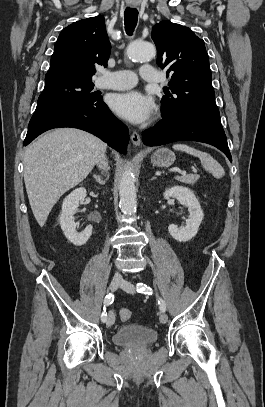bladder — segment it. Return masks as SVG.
I'll return each mask as SVG.
<instances>
[{"label": "bladder", "instance_id": "1", "mask_svg": "<svg viewBox=\"0 0 265 407\" xmlns=\"http://www.w3.org/2000/svg\"><path fill=\"white\" fill-rule=\"evenodd\" d=\"M158 334L152 328L142 325H126L113 335V342L117 345L129 347H146L154 343Z\"/></svg>", "mask_w": 265, "mask_h": 407}]
</instances>
